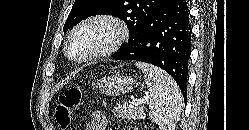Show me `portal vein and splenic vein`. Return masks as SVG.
<instances>
[{
    "label": "portal vein and splenic vein",
    "instance_id": "18ae733b",
    "mask_svg": "<svg viewBox=\"0 0 249 130\" xmlns=\"http://www.w3.org/2000/svg\"><path fill=\"white\" fill-rule=\"evenodd\" d=\"M145 102H146V99H144V98H141V99H133V100H132V104H133L134 106H138V105L143 104V103H145Z\"/></svg>",
    "mask_w": 249,
    "mask_h": 130
}]
</instances>
